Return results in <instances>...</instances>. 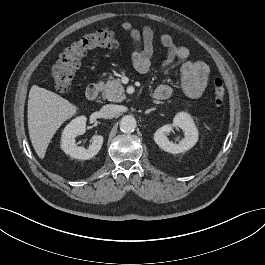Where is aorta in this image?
Here are the masks:
<instances>
[{
  "label": "aorta",
  "mask_w": 265,
  "mask_h": 265,
  "mask_svg": "<svg viewBox=\"0 0 265 265\" xmlns=\"http://www.w3.org/2000/svg\"><path fill=\"white\" fill-rule=\"evenodd\" d=\"M136 128V119L131 115L122 117L120 121V130L124 133L133 132Z\"/></svg>",
  "instance_id": "aorta-1"
}]
</instances>
